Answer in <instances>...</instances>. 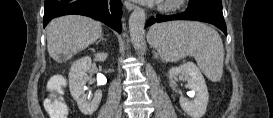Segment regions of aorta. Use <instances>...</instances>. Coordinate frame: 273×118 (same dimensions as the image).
<instances>
[{"instance_id":"obj_1","label":"aorta","mask_w":273,"mask_h":118,"mask_svg":"<svg viewBox=\"0 0 273 118\" xmlns=\"http://www.w3.org/2000/svg\"><path fill=\"white\" fill-rule=\"evenodd\" d=\"M145 11L137 7L129 18V31L131 41L136 49L144 45Z\"/></svg>"}]
</instances>
